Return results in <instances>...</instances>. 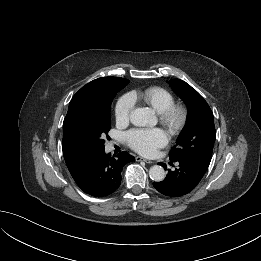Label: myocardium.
<instances>
[{
  "label": "myocardium",
  "mask_w": 261,
  "mask_h": 261,
  "mask_svg": "<svg viewBox=\"0 0 261 261\" xmlns=\"http://www.w3.org/2000/svg\"><path fill=\"white\" fill-rule=\"evenodd\" d=\"M160 123L172 134L179 133L188 119L187 108L180 103H173L161 113H158Z\"/></svg>",
  "instance_id": "myocardium-1"
}]
</instances>
